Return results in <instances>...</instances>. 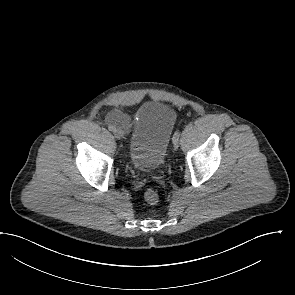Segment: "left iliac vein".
I'll return each instance as SVG.
<instances>
[{"label": "left iliac vein", "mask_w": 295, "mask_h": 295, "mask_svg": "<svg viewBox=\"0 0 295 295\" xmlns=\"http://www.w3.org/2000/svg\"><path fill=\"white\" fill-rule=\"evenodd\" d=\"M172 143H173L174 149L176 150L178 148V146H179V140H177V139L173 140Z\"/></svg>", "instance_id": "obj_1"}]
</instances>
